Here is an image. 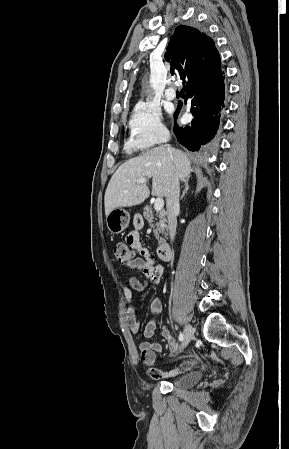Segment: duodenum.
Returning a JSON list of instances; mask_svg holds the SVG:
<instances>
[{
    "mask_svg": "<svg viewBox=\"0 0 289 449\" xmlns=\"http://www.w3.org/2000/svg\"><path fill=\"white\" fill-rule=\"evenodd\" d=\"M158 257L162 261H168L171 257V249L168 244H161L157 249Z\"/></svg>",
    "mask_w": 289,
    "mask_h": 449,
    "instance_id": "obj_1",
    "label": "duodenum"
}]
</instances>
